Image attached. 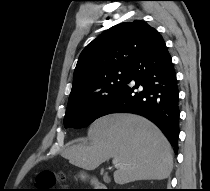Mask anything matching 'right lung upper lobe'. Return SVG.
I'll return each mask as SVG.
<instances>
[{
	"mask_svg": "<svg viewBox=\"0 0 210 191\" xmlns=\"http://www.w3.org/2000/svg\"><path fill=\"white\" fill-rule=\"evenodd\" d=\"M157 35L155 28L140 20L123 22L103 32L80 54L69 98L86 90L104 72L130 67Z\"/></svg>",
	"mask_w": 210,
	"mask_h": 191,
	"instance_id": "right-lung-upper-lobe-1",
	"label": "right lung upper lobe"
}]
</instances>
